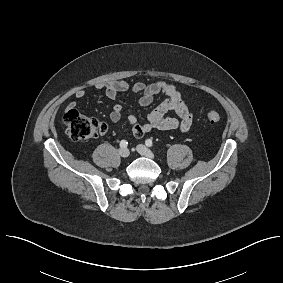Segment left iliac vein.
<instances>
[{
    "mask_svg": "<svg viewBox=\"0 0 283 283\" xmlns=\"http://www.w3.org/2000/svg\"><path fill=\"white\" fill-rule=\"evenodd\" d=\"M137 151L142 156H145V157L150 158V159L154 158L153 152L151 150H149L145 145H142V144L138 145Z\"/></svg>",
    "mask_w": 283,
    "mask_h": 283,
    "instance_id": "left-iliac-vein-1",
    "label": "left iliac vein"
}]
</instances>
